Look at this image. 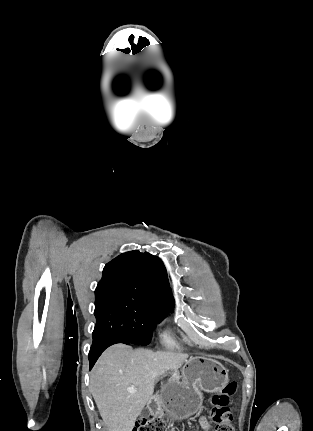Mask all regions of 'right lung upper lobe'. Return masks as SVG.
I'll return each mask as SVG.
<instances>
[{
  "label": "right lung upper lobe",
  "mask_w": 313,
  "mask_h": 431,
  "mask_svg": "<svg viewBox=\"0 0 313 431\" xmlns=\"http://www.w3.org/2000/svg\"><path fill=\"white\" fill-rule=\"evenodd\" d=\"M105 293L130 295L161 307L174 305L162 261L137 250L123 253L106 264L95 296Z\"/></svg>",
  "instance_id": "cb5924a9"
}]
</instances>
